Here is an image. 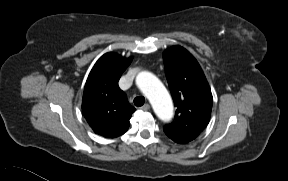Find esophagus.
Instances as JSON below:
<instances>
[{"mask_svg":"<svg viewBox=\"0 0 288 181\" xmlns=\"http://www.w3.org/2000/svg\"><path fill=\"white\" fill-rule=\"evenodd\" d=\"M141 109H142L143 111H147V110L150 109V105H149L148 103H146V104H144V105L141 107Z\"/></svg>","mask_w":288,"mask_h":181,"instance_id":"1","label":"esophagus"}]
</instances>
